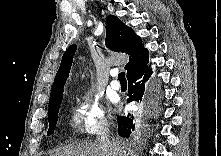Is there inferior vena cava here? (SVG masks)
I'll return each instance as SVG.
<instances>
[{"label": "inferior vena cava", "mask_w": 221, "mask_h": 156, "mask_svg": "<svg viewBox=\"0 0 221 156\" xmlns=\"http://www.w3.org/2000/svg\"><path fill=\"white\" fill-rule=\"evenodd\" d=\"M98 141L102 144V146L106 149H111L113 147V142L110 140L109 130L106 132H102Z\"/></svg>", "instance_id": "1"}]
</instances>
